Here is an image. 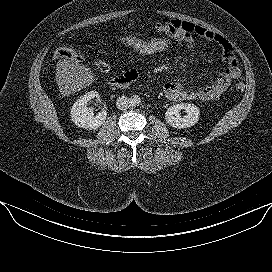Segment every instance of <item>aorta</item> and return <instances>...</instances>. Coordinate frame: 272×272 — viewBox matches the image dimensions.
Returning a JSON list of instances; mask_svg holds the SVG:
<instances>
[{
	"mask_svg": "<svg viewBox=\"0 0 272 272\" xmlns=\"http://www.w3.org/2000/svg\"><path fill=\"white\" fill-rule=\"evenodd\" d=\"M141 103V98L138 95H133L130 97V104L132 107L139 106Z\"/></svg>",
	"mask_w": 272,
	"mask_h": 272,
	"instance_id": "obj_1",
	"label": "aorta"
}]
</instances>
